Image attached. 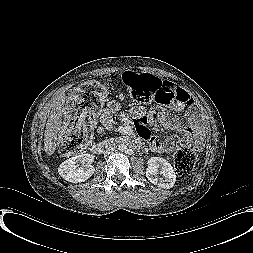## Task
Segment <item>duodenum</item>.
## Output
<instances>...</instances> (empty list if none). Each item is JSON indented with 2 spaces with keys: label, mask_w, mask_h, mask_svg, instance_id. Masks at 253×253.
<instances>
[{
  "label": "duodenum",
  "mask_w": 253,
  "mask_h": 253,
  "mask_svg": "<svg viewBox=\"0 0 253 253\" xmlns=\"http://www.w3.org/2000/svg\"><path fill=\"white\" fill-rule=\"evenodd\" d=\"M125 143L126 146H131L133 143L126 140L125 138H119V139H116L115 141H113V143H97V144H94L92 146V153L93 154H99L101 152V150L104 149V147H110L111 145H119L120 143Z\"/></svg>",
  "instance_id": "410a0bca"
}]
</instances>
